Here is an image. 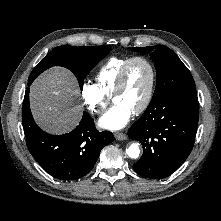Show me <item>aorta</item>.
Wrapping results in <instances>:
<instances>
[{
  "mask_svg": "<svg viewBox=\"0 0 221 221\" xmlns=\"http://www.w3.org/2000/svg\"><path fill=\"white\" fill-rule=\"evenodd\" d=\"M127 155L132 158L136 159L139 157L140 154V148L137 143H132L129 148L126 150Z\"/></svg>",
  "mask_w": 221,
  "mask_h": 221,
  "instance_id": "aorta-1",
  "label": "aorta"
}]
</instances>
